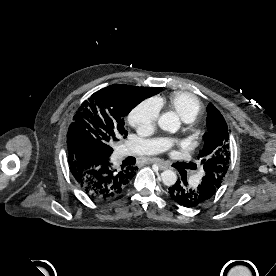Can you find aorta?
I'll return each mask as SVG.
<instances>
[{
	"instance_id": "762f6f07",
	"label": "aorta",
	"mask_w": 276,
	"mask_h": 276,
	"mask_svg": "<svg viewBox=\"0 0 276 276\" xmlns=\"http://www.w3.org/2000/svg\"><path fill=\"white\" fill-rule=\"evenodd\" d=\"M180 119L173 111L163 113L158 119V126L170 133H175L180 129ZM161 179L164 185L172 186L177 181V175L173 170H165L161 173Z\"/></svg>"
}]
</instances>
